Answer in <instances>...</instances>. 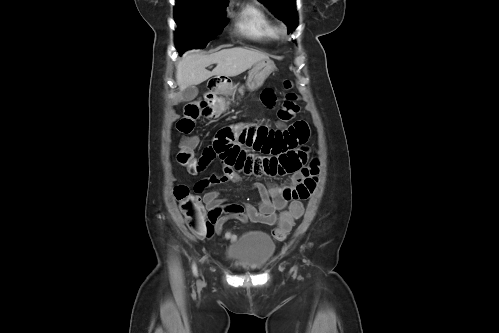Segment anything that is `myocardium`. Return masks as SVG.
<instances>
[{"label": "myocardium", "instance_id": "myocardium-1", "mask_svg": "<svg viewBox=\"0 0 499 333\" xmlns=\"http://www.w3.org/2000/svg\"><path fill=\"white\" fill-rule=\"evenodd\" d=\"M278 31H279V32H281V33H284V32H285V28H284V27H280V28L278 29Z\"/></svg>", "mask_w": 499, "mask_h": 333}]
</instances>
